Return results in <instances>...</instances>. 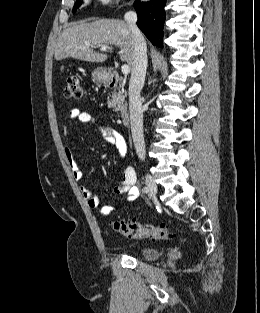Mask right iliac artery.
Masks as SVG:
<instances>
[{
    "instance_id": "82829eb1",
    "label": "right iliac artery",
    "mask_w": 260,
    "mask_h": 313,
    "mask_svg": "<svg viewBox=\"0 0 260 313\" xmlns=\"http://www.w3.org/2000/svg\"><path fill=\"white\" fill-rule=\"evenodd\" d=\"M147 191H148L147 187H144L143 192H147ZM137 193H138V190H137Z\"/></svg>"
}]
</instances>
